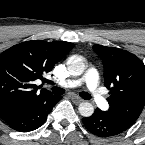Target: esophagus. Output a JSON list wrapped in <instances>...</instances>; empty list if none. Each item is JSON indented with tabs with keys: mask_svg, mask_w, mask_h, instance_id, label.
Listing matches in <instances>:
<instances>
[{
	"mask_svg": "<svg viewBox=\"0 0 145 145\" xmlns=\"http://www.w3.org/2000/svg\"><path fill=\"white\" fill-rule=\"evenodd\" d=\"M71 99H72V101H73L75 104H79V103H81V102L83 101V99L80 98V97L77 96V95H72Z\"/></svg>",
	"mask_w": 145,
	"mask_h": 145,
	"instance_id": "34e87169",
	"label": "esophagus"
}]
</instances>
